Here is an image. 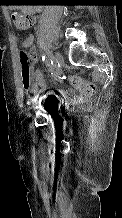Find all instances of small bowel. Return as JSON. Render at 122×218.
<instances>
[{"instance_id": "small-bowel-1", "label": "small bowel", "mask_w": 122, "mask_h": 218, "mask_svg": "<svg viewBox=\"0 0 122 218\" xmlns=\"http://www.w3.org/2000/svg\"><path fill=\"white\" fill-rule=\"evenodd\" d=\"M33 44H34V36L32 34H28L22 41L23 47L31 48V53H30L31 63L35 64L38 61V57H37V53H36L35 49L33 48ZM46 89H47V84H46V81L43 77V74L40 70L36 69L35 71H33V74H32V87H31L30 91L33 94V97L31 98V102L32 103L36 102L39 93L45 91ZM83 94H85V93H83ZM85 95H90V94H85ZM48 96L56 97V95L54 93H49ZM61 96L63 99H69V100H73V99H76L78 97L77 95H69L64 90L61 91ZM49 105H51V104H49ZM45 107H48V104H46Z\"/></svg>"}]
</instances>
